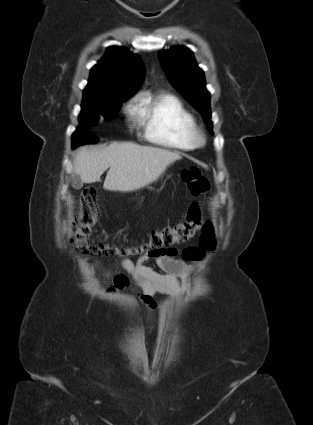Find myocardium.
I'll list each match as a JSON object with an SVG mask.
<instances>
[{
    "label": "myocardium",
    "mask_w": 313,
    "mask_h": 425,
    "mask_svg": "<svg viewBox=\"0 0 313 425\" xmlns=\"http://www.w3.org/2000/svg\"><path fill=\"white\" fill-rule=\"evenodd\" d=\"M193 142L195 146H201L205 143V137L198 128L193 132Z\"/></svg>",
    "instance_id": "1"
}]
</instances>
